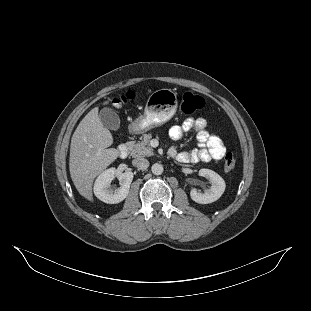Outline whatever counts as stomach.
Masks as SVG:
<instances>
[{
    "label": "stomach",
    "mask_w": 311,
    "mask_h": 311,
    "mask_svg": "<svg viewBox=\"0 0 311 311\" xmlns=\"http://www.w3.org/2000/svg\"><path fill=\"white\" fill-rule=\"evenodd\" d=\"M177 96L171 89L152 93L146 103L144 114L129 126L132 133H143L169 121L177 111Z\"/></svg>",
    "instance_id": "1"
}]
</instances>
